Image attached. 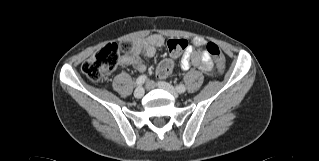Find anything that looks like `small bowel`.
<instances>
[{
    "label": "small bowel",
    "instance_id": "1",
    "mask_svg": "<svg viewBox=\"0 0 319 161\" xmlns=\"http://www.w3.org/2000/svg\"><path fill=\"white\" fill-rule=\"evenodd\" d=\"M164 44V38L159 34H152L142 40L136 41L130 53L120 57L119 64L132 66L139 72H145L147 66L140 58L143 55L146 58H151L155 55L156 50ZM195 49L187 50L180 58V67L182 70H188L192 65L210 72L213 70L210 54L206 51V41L203 39L194 40ZM159 65L156 67V74L159 77H166L169 73L159 74Z\"/></svg>",
    "mask_w": 319,
    "mask_h": 161
}]
</instances>
